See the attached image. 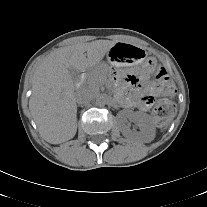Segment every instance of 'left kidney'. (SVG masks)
I'll use <instances>...</instances> for the list:
<instances>
[{
	"label": "left kidney",
	"mask_w": 207,
	"mask_h": 207,
	"mask_svg": "<svg viewBox=\"0 0 207 207\" xmlns=\"http://www.w3.org/2000/svg\"><path fill=\"white\" fill-rule=\"evenodd\" d=\"M118 119L122 123L121 132L124 136H132L131 130L125 126L126 119L133 120L139 127V137L144 142H150L155 137V126L151 117L141 112L121 111L118 113Z\"/></svg>",
	"instance_id": "left-kidney-1"
}]
</instances>
